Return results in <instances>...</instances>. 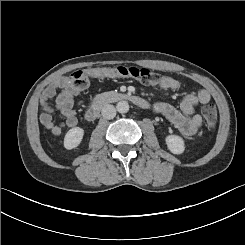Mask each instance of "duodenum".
Instances as JSON below:
<instances>
[{"mask_svg":"<svg viewBox=\"0 0 245 245\" xmlns=\"http://www.w3.org/2000/svg\"><path fill=\"white\" fill-rule=\"evenodd\" d=\"M120 101H127L130 102L138 107L141 108H148L149 103L132 93H127V92H107L104 94H101L97 96L88 109L86 110L85 116L86 119L89 121H93L98 117L100 114L101 110L108 104L115 103V102H120Z\"/></svg>","mask_w":245,"mask_h":245,"instance_id":"obj_1","label":"duodenum"}]
</instances>
